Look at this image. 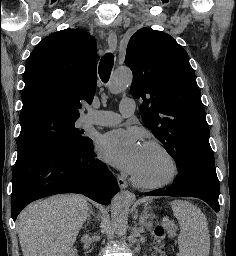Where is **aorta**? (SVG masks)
<instances>
[{
	"mask_svg": "<svg viewBox=\"0 0 236 256\" xmlns=\"http://www.w3.org/2000/svg\"><path fill=\"white\" fill-rule=\"evenodd\" d=\"M132 72L122 67L113 74L109 90L112 94H118L124 91L132 83ZM133 194L128 191H121L114 196L111 204V220L115 230L124 235L128 227L129 208Z\"/></svg>",
	"mask_w": 236,
	"mask_h": 256,
	"instance_id": "762f6f07",
	"label": "aorta"
}]
</instances>
